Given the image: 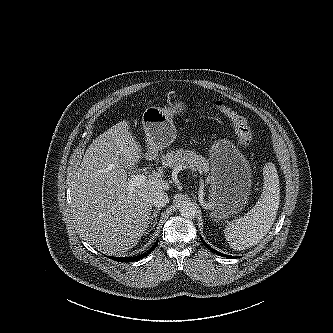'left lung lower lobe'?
Wrapping results in <instances>:
<instances>
[{
	"label": "left lung lower lobe",
	"mask_w": 333,
	"mask_h": 333,
	"mask_svg": "<svg viewBox=\"0 0 333 333\" xmlns=\"http://www.w3.org/2000/svg\"><path fill=\"white\" fill-rule=\"evenodd\" d=\"M200 238H201V242L204 244V246L205 247H207L209 250H211L212 252H214V253H216V254H218V255H220V256H222V257H227V258H231V259H234L235 257L234 256H230V255H226V254H223V253H221V252H218V251H216V250H214L213 248H211L203 239H202V237L200 236Z\"/></svg>",
	"instance_id": "0a47b994"
}]
</instances>
